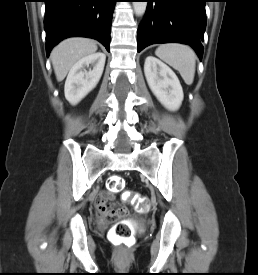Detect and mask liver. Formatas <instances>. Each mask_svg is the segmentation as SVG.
<instances>
[{"label": "liver", "instance_id": "6515ba94", "mask_svg": "<svg viewBox=\"0 0 258 275\" xmlns=\"http://www.w3.org/2000/svg\"><path fill=\"white\" fill-rule=\"evenodd\" d=\"M96 51L95 41L87 38H69L59 43L51 52L57 80L62 81L76 62Z\"/></svg>", "mask_w": 258, "mask_h": 275}]
</instances>
